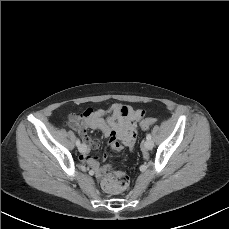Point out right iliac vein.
Instances as JSON below:
<instances>
[{
    "instance_id": "right-iliac-vein-1",
    "label": "right iliac vein",
    "mask_w": 229,
    "mask_h": 229,
    "mask_svg": "<svg viewBox=\"0 0 229 229\" xmlns=\"http://www.w3.org/2000/svg\"><path fill=\"white\" fill-rule=\"evenodd\" d=\"M85 146L82 144L78 147L79 151L82 152L84 150Z\"/></svg>"
}]
</instances>
